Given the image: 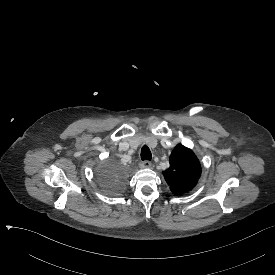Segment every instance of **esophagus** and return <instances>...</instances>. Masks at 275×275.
Instances as JSON below:
<instances>
[{"mask_svg":"<svg viewBox=\"0 0 275 275\" xmlns=\"http://www.w3.org/2000/svg\"><path fill=\"white\" fill-rule=\"evenodd\" d=\"M139 167L144 169V168H150L151 167V162L149 160H143L139 163Z\"/></svg>","mask_w":275,"mask_h":275,"instance_id":"34e87169","label":"esophagus"}]
</instances>
